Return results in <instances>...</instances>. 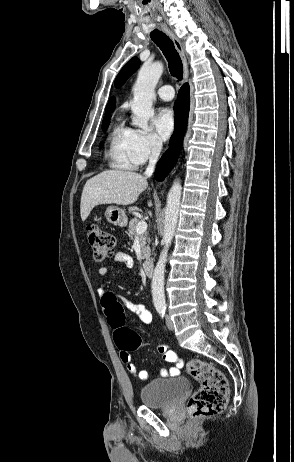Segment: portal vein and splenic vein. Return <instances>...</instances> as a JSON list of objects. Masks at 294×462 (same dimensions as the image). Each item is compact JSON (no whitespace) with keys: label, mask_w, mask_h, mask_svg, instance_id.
Wrapping results in <instances>:
<instances>
[{"label":"portal vein and splenic vein","mask_w":294,"mask_h":462,"mask_svg":"<svg viewBox=\"0 0 294 462\" xmlns=\"http://www.w3.org/2000/svg\"><path fill=\"white\" fill-rule=\"evenodd\" d=\"M147 230V223L144 220L139 221L136 226L137 234H143Z\"/></svg>","instance_id":"portal-vein-and-splenic-vein-1"}]
</instances>
